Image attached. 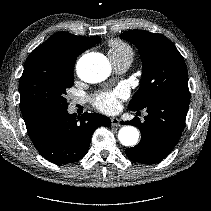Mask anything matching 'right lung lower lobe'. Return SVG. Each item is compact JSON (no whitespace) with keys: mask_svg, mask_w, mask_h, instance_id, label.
<instances>
[{"mask_svg":"<svg viewBox=\"0 0 211 211\" xmlns=\"http://www.w3.org/2000/svg\"><path fill=\"white\" fill-rule=\"evenodd\" d=\"M110 125L107 116L87 112L77 116L69 114L66 108L40 115L26 128L38 152L48 161L63 165L83 158L95 129Z\"/></svg>","mask_w":211,"mask_h":211,"instance_id":"98d812e1","label":"right lung lower lobe"}]
</instances>
